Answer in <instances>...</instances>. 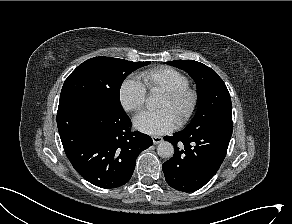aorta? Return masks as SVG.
I'll list each match as a JSON object with an SVG mask.
<instances>
[{
    "instance_id": "obj_1",
    "label": "aorta",
    "mask_w": 292,
    "mask_h": 224,
    "mask_svg": "<svg viewBox=\"0 0 292 224\" xmlns=\"http://www.w3.org/2000/svg\"><path fill=\"white\" fill-rule=\"evenodd\" d=\"M158 98L156 95H151L148 99V104L150 106H155ZM158 155L162 158H170L174 154V147L168 141H162L157 147Z\"/></svg>"
}]
</instances>
